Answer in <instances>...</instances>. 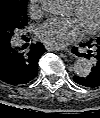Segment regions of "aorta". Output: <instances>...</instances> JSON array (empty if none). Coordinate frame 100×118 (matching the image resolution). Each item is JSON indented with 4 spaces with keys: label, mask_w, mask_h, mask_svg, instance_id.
<instances>
[{
    "label": "aorta",
    "mask_w": 100,
    "mask_h": 118,
    "mask_svg": "<svg viewBox=\"0 0 100 118\" xmlns=\"http://www.w3.org/2000/svg\"><path fill=\"white\" fill-rule=\"evenodd\" d=\"M43 7L47 13L55 17H64L69 13V5L66 0H44ZM92 65L86 58H77L73 65L76 75L86 77L91 72Z\"/></svg>",
    "instance_id": "obj_1"
}]
</instances>
